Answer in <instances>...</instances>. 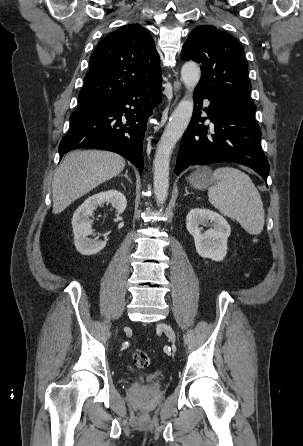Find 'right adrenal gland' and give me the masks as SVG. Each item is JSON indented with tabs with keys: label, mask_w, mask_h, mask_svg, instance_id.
Here are the masks:
<instances>
[{
	"label": "right adrenal gland",
	"mask_w": 303,
	"mask_h": 446,
	"mask_svg": "<svg viewBox=\"0 0 303 446\" xmlns=\"http://www.w3.org/2000/svg\"><path fill=\"white\" fill-rule=\"evenodd\" d=\"M122 176L126 177L127 180H128L130 183H132L131 179L128 177V170H126V171H125V174L122 175Z\"/></svg>",
	"instance_id": "obj_1"
}]
</instances>
